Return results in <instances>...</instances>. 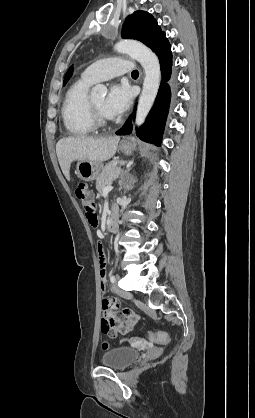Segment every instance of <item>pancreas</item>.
I'll list each match as a JSON object with an SVG mask.
<instances>
[{
	"label": "pancreas",
	"instance_id": "1",
	"mask_svg": "<svg viewBox=\"0 0 255 418\" xmlns=\"http://www.w3.org/2000/svg\"><path fill=\"white\" fill-rule=\"evenodd\" d=\"M118 163H123V161L113 160L105 165L96 179V189L98 193L102 194L103 189L109 186L120 174V167L117 166Z\"/></svg>",
	"mask_w": 255,
	"mask_h": 418
}]
</instances>
